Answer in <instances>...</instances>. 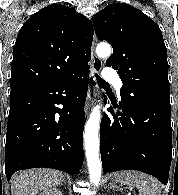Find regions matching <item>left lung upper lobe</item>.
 I'll return each instance as SVG.
<instances>
[{"instance_id":"1","label":"left lung upper lobe","mask_w":178,"mask_h":195,"mask_svg":"<svg viewBox=\"0 0 178 195\" xmlns=\"http://www.w3.org/2000/svg\"><path fill=\"white\" fill-rule=\"evenodd\" d=\"M93 25L97 38L113 47L106 65L118 70L121 95L170 107L167 49L159 26L120 2L98 12Z\"/></svg>"}]
</instances>
